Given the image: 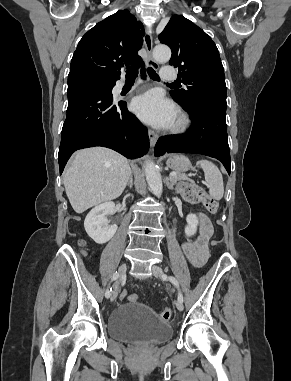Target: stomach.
I'll return each mask as SVG.
<instances>
[{
  "instance_id": "1",
  "label": "stomach",
  "mask_w": 291,
  "mask_h": 381,
  "mask_svg": "<svg viewBox=\"0 0 291 381\" xmlns=\"http://www.w3.org/2000/svg\"><path fill=\"white\" fill-rule=\"evenodd\" d=\"M166 163L169 168L178 173L188 171L191 168L190 160L184 155H171Z\"/></svg>"
}]
</instances>
